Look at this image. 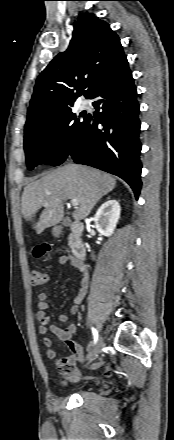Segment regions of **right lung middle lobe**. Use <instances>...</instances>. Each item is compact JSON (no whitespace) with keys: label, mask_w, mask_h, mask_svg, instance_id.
<instances>
[{"label":"right lung middle lobe","mask_w":174,"mask_h":440,"mask_svg":"<svg viewBox=\"0 0 174 440\" xmlns=\"http://www.w3.org/2000/svg\"><path fill=\"white\" fill-rule=\"evenodd\" d=\"M81 116L83 121H79L70 108L25 131L24 149L29 170L40 163L57 166L66 160L84 128L85 114Z\"/></svg>","instance_id":"dd1d6c3e"}]
</instances>
